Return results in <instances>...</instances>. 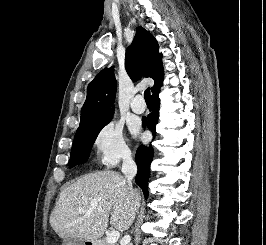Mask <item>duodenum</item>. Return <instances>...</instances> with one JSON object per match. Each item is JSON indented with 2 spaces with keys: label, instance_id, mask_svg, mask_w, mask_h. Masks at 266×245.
I'll list each match as a JSON object with an SVG mask.
<instances>
[{
  "label": "duodenum",
  "instance_id": "410a0bca",
  "mask_svg": "<svg viewBox=\"0 0 266 245\" xmlns=\"http://www.w3.org/2000/svg\"><path fill=\"white\" fill-rule=\"evenodd\" d=\"M85 242H92V237H85Z\"/></svg>",
  "mask_w": 266,
  "mask_h": 245
}]
</instances>
